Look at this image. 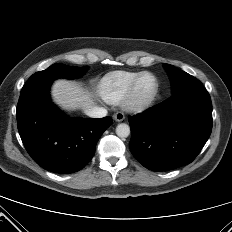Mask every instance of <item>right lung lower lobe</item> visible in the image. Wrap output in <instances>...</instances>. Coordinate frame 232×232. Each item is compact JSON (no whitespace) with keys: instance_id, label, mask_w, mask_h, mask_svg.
<instances>
[{"instance_id":"98d812e1","label":"right lung lower lobe","mask_w":232,"mask_h":232,"mask_svg":"<svg viewBox=\"0 0 232 232\" xmlns=\"http://www.w3.org/2000/svg\"><path fill=\"white\" fill-rule=\"evenodd\" d=\"M51 83L21 92L17 125L22 142L41 167L69 174L82 169L95 153V146L112 124L110 117L69 118L50 100Z\"/></svg>"}]
</instances>
